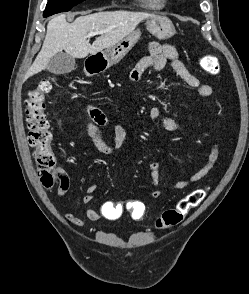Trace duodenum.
<instances>
[{"label": "duodenum", "mask_w": 249, "mask_h": 294, "mask_svg": "<svg viewBox=\"0 0 249 294\" xmlns=\"http://www.w3.org/2000/svg\"><path fill=\"white\" fill-rule=\"evenodd\" d=\"M102 69H103V66L101 64L88 61L86 63V68L84 73L86 77H91L99 73ZM82 94H83V97L87 99V90L85 87L82 88ZM88 111L92 117L102 113L98 107H96L95 105L91 103H88Z\"/></svg>", "instance_id": "duodenum-1"}]
</instances>
